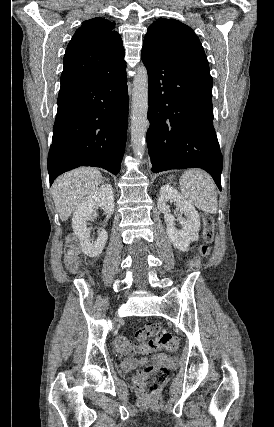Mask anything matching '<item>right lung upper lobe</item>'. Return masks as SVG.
Returning <instances> with one entry per match:
<instances>
[{
    "mask_svg": "<svg viewBox=\"0 0 274 427\" xmlns=\"http://www.w3.org/2000/svg\"><path fill=\"white\" fill-rule=\"evenodd\" d=\"M123 64L124 48L114 23L102 17L86 20L66 49L59 93L95 81Z\"/></svg>",
    "mask_w": 274,
    "mask_h": 427,
    "instance_id": "right-lung-upper-lobe-1",
    "label": "right lung upper lobe"
}]
</instances>
